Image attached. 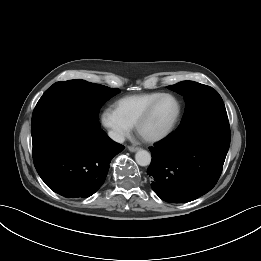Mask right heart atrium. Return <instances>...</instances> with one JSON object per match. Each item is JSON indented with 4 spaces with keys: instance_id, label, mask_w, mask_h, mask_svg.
I'll return each mask as SVG.
<instances>
[{
    "instance_id": "d8ad5b80",
    "label": "right heart atrium",
    "mask_w": 261,
    "mask_h": 261,
    "mask_svg": "<svg viewBox=\"0 0 261 261\" xmlns=\"http://www.w3.org/2000/svg\"><path fill=\"white\" fill-rule=\"evenodd\" d=\"M101 122L108 129L112 138L118 142L124 141L130 135L133 127L113 108H105L102 111Z\"/></svg>"
}]
</instances>
